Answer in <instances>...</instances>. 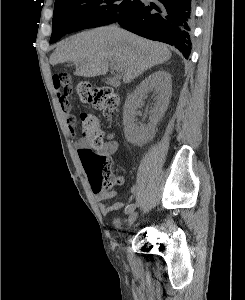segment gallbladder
<instances>
[{"label":"gallbladder","instance_id":"1","mask_svg":"<svg viewBox=\"0 0 245 300\" xmlns=\"http://www.w3.org/2000/svg\"><path fill=\"white\" fill-rule=\"evenodd\" d=\"M108 84L116 86L117 82L114 79L108 78L106 81Z\"/></svg>","mask_w":245,"mask_h":300}]
</instances>
